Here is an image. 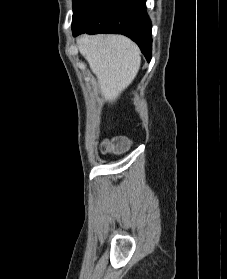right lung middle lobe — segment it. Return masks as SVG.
<instances>
[{
  "mask_svg": "<svg viewBox=\"0 0 227 279\" xmlns=\"http://www.w3.org/2000/svg\"><path fill=\"white\" fill-rule=\"evenodd\" d=\"M89 2L90 0H73V22L76 21Z\"/></svg>",
  "mask_w": 227,
  "mask_h": 279,
  "instance_id": "dd1d6c3e",
  "label": "right lung middle lobe"
}]
</instances>
